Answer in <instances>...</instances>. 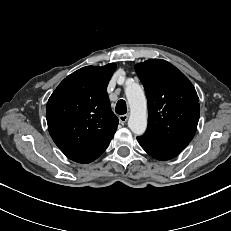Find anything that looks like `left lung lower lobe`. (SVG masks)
<instances>
[{
    "mask_svg": "<svg viewBox=\"0 0 231 231\" xmlns=\"http://www.w3.org/2000/svg\"><path fill=\"white\" fill-rule=\"evenodd\" d=\"M142 148L153 158L161 161L169 160L181 153V151L163 145L148 136L137 137Z\"/></svg>",
    "mask_w": 231,
    "mask_h": 231,
    "instance_id": "0a47b994",
    "label": "left lung lower lobe"
}]
</instances>
